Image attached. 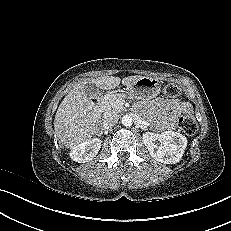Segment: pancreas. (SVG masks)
I'll return each instance as SVG.
<instances>
[{"instance_id":"cf45deb5","label":"pancreas","mask_w":231,"mask_h":231,"mask_svg":"<svg viewBox=\"0 0 231 231\" xmlns=\"http://www.w3.org/2000/svg\"><path fill=\"white\" fill-rule=\"evenodd\" d=\"M125 98L126 95L119 93L105 96L100 104V108L104 114L119 113L124 110Z\"/></svg>"}]
</instances>
